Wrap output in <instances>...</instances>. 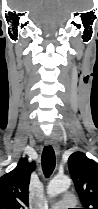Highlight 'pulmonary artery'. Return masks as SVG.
<instances>
[{
    "label": "pulmonary artery",
    "instance_id": "1",
    "mask_svg": "<svg viewBox=\"0 0 98 209\" xmlns=\"http://www.w3.org/2000/svg\"><path fill=\"white\" fill-rule=\"evenodd\" d=\"M76 205H77L76 196L73 193L68 192L63 196L62 200L54 203L51 206V209H68L70 207H75Z\"/></svg>",
    "mask_w": 98,
    "mask_h": 209
}]
</instances>
